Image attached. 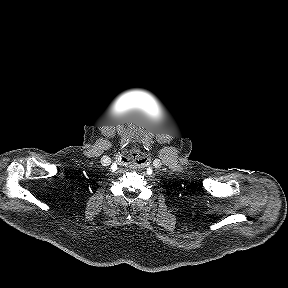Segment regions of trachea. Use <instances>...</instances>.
Here are the masks:
<instances>
[{
	"label": "trachea",
	"mask_w": 288,
	"mask_h": 288,
	"mask_svg": "<svg viewBox=\"0 0 288 288\" xmlns=\"http://www.w3.org/2000/svg\"><path fill=\"white\" fill-rule=\"evenodd\" d=\"M142 156L139 152L133 151L128 155V163L132 165H139L142 163Z\"/></svg>",
	"instance_id": "trachea-1"
}]
</instances>
